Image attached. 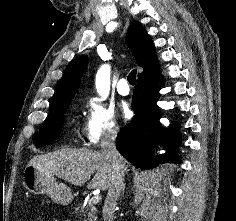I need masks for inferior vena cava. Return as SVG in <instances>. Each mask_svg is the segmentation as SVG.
Listing matches in <instances>:
<instances>
[{"mask_svg": "<svg viewBox=\"0 0 236 221\" xmlns=\"http://www.w3.org/2000/svg\"><path fill=\"white\" fill-rule=\"evenodd\" d=\"M117 134L118 128L114 127L105 130L101 138V153L107 159L112 170L108 193L102 209L104 221H113L114 219L115 207L123 187V178L125 174L124 158L117 151L115 146Z\"/></svg>", "mask_w": 236, "mask_h": 221, "instance_id": "602c4592", "label": "inferior vena cava"}]
</instances>
